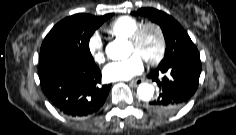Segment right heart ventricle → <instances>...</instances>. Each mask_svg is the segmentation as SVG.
Wrapping results in <instances>:
<instances>
[{"label":"right heart ventricle","mask_w":236,"mask_h":135,"mask_svg":"<svg viewBox=\"0 0 236 135\" xmlns=\"http://www.w3.org/2000/svg\"><path fill=\"white\" fill-rule=\"evenodd\" d=\"M142 23L132 16H120L107 25L106 31L113 36L130 39Z\"/></svg>","instance_id":"1"}]
</instances>
